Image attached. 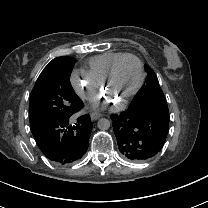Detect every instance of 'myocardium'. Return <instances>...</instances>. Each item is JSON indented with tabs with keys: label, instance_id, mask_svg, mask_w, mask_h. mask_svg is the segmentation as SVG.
<instances>
[{
	"label": "myocardium",
	"instance_id": "myocardium-1",
	"mask_svg": "<svg viewBox=\"0 0 208 208\" xmlns=\"http://www.w3.org/2000/svg\"><path fill=\"white\" fill-rule=\"evenodd\" d=\"M128 58L134 59L138 63L139 71H140V78H139V81H138L136 87L129 94H127L124 98L116 100V103L118 104L119 107L124 106L130 99H132L140 91V89L143 86V83H144V80H145V69H144V64L140 60V58H138L137 56H135L133 54H125L123 57L118 59L113 64V66L111 67L107 76L100 83V88H101L102 93H107L108 92L107 91V86L112 82L113 77L115 75V72H116L118 66L120 65V63L123 60L128 59Z\"/></svg>",
	"mask_w": 208,
	"mask_h": 208
}]
</instances>
